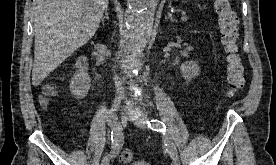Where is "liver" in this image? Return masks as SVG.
Wrapping results in <instances>:
<instances>
[{"mask_svg": "<svg viewBox=\"0 0 276 165\" xmlns=\"http://www.w3.org/2000/svg\"><path fill=\"white\" fill-rule=\"evenodd\" d=\"M109 0H34L32 84L38 86L96 33Z\"/></svg>", "mask_w": 276, "mask_h": 165, "instance_id": "1", "label": "liver"}]
</instances>
